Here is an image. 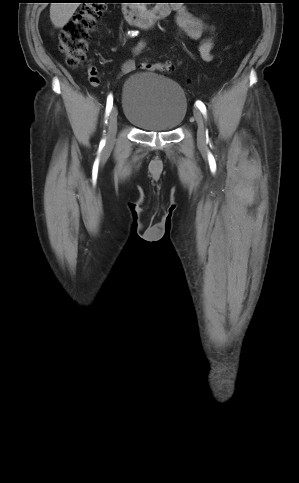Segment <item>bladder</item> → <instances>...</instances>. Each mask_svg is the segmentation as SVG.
Returning <instances> with one entry per match:
<instances>
[{
    "label": "bladder",
    "instance_id": "1",
    "mask_svg": "<svg viewBox=\"0 0 299 483\" xmlns=\"http://www.w3.org/2000/svg\"><path fill=\"white\" fill-rule=\"evenodd\" d=\"M124 118L146 132H170L184 120L187 99L175 81L151 71L133 73L121 92Z\"/></svg>",
    "mask_w": 299,
    "mask_h": 483
}]
</instances>
